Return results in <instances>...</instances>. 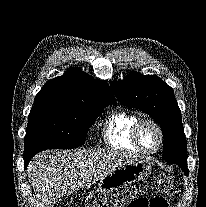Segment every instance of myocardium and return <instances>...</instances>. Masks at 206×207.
<instances>
[{"label":"myocardium","mask_w":206,"mask_h":207,"mask_svg":"<svg viewBox=\"0 0 206 207\" xmlns=\"http://www.w3.org/2000/svg\"><path fill=\"white\" fill-rule=\"evenodd\" d=\"M144 124H150L152 125L158 132L159 135V142L157 146L154 149H147L145 148L141 141H140V129ZM164 132L161 127V125L155 121L154 119L151 118H140L135 125L132 128V141L133 144L138 148V150L144 154H155L157 153L163 146L164 144Z\"/></svg>","instance_id":"f54148a6"}]
</instances>
